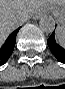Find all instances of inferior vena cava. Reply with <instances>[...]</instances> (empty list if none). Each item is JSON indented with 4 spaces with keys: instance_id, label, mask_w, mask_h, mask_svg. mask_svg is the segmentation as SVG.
<instances>
[{
    "instance_id": "inferior-vena-cava-1",
    "label": "inferior vena cava",
    "mask_w": 65,
    "mask_h": 89,
    "mask_svg": "<svg viewBox=\"0 0 65 89\" xmlns=\"http://www.w3.org/2000/svg\"><path fill=\"white\" fill-rule=\"evenodd\" d=\"M25 21H27V19H20L16 22V25L15 27L19 26V25H22Z\"/></svg>"
}]
</instances>
